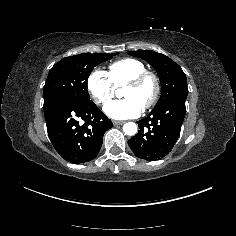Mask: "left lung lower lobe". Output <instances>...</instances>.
<instances>
[{
  "label": "left lung lower lobe",
  "mask_w": 236,
  "mask_h": 236,
  "mask_svg": "<svg viewBox=\"0 0 236 236\" xmlns=\"http://www.w3.org/2000/svg\"><path fill=\"white\" fill-rule=\"evenodd\" d=\"M185 101L184 96L175 97L137 121L140 129L128 145L138 158L160 160L172 150L185 117Z\"/></svg>",
  "instance_id": "obj_1"
}]
</instances>
